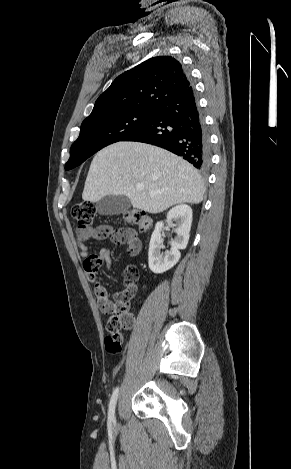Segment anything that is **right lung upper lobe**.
Wrapping results in <instances>:
<instances>
[{
    "label": "right lung upper lobe",
    "mask_w": 291,
    "mask_h": 469,
    "mask_svg": "<svg viewBox=\"0 0 291 469\" xmlns=\"http://www.w3.org/2000/svg\"><path fill=\"white\" fill-rule=\"evenodd\" d=\"M190 86L187 73L175 58H150L118 76L99 96L92 113L85 120L132 109L154 110L173 93Z\"/></svg>",
    "instance_id": "1"
}]
</instances>
